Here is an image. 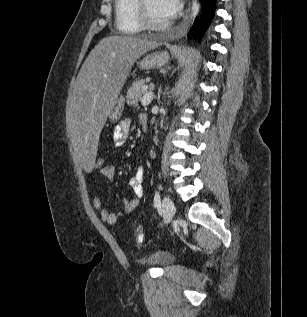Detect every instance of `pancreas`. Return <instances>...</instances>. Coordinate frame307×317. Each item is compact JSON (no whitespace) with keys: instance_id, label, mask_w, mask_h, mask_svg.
Wrapping results in <instances>:
<instances>
[{"instance_id":"obj_1","label":"pancreas","mask_w":307,"mask_h":317,"mask_svg":"<svg viewBox=\"0 0 307 317\" xmlns=\"http://www.w3.org/2000/svg\"><path fill=\"white\" fill-rule=\"evenodd\" d=\"M145 82L146 80L144 79L137 80L128 89L126 99L129 106L136 107L138 105L142 95L145 94V91L143 90Z\"/></svg>"}]
</instances>
